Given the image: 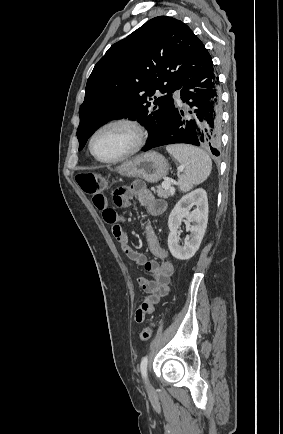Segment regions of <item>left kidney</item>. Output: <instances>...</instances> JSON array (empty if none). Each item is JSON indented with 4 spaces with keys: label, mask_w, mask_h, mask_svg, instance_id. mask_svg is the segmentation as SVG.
Listing matches in <instances>:
<instances>
[{
    "label": "left kidney",
    "mask_w": 283,
    "mask_h": 434,
    "mask_svg": "<svg viewBox=\"0 0 283 434\" xmlns=\"http://www.w3.org/2000/svg\"><path fill=\"white\" fill-rule=\"evenodd\" d=\"M194 205L196 208L190 212V208ZM208 212L207 193L202 188L186 194L177 202L168 218L170 230L168 247L173 257L179 260H188L195 255L207 228ZM183 218L188 221L187 231L190 232V235L185 244L181 246L179 244V228Z\"/></svg>",
    "instance_id": "5707ae66"
}]
</instances>
